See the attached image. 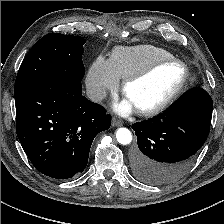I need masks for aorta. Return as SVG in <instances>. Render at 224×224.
I'll list each match as a JSON object with an SVG mask.
<instances>
[{"label": "aorta", "mask_w": 224, "mask_h": 224, "mask_svg": "<svg viewBox=\"0 0 224 224\" xmlns=\"http://www.w3.org/2000/svg\"><path fill=\"white\" fill-rule=\"evenodd\" d=\"M116 139L118 143L122 145H128L132 141V133L127 128L124 127L119 128L116 131Z\"/></svg>", "instance_id": "1"}]
</instances>
